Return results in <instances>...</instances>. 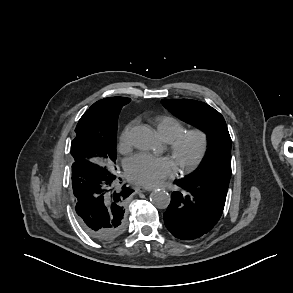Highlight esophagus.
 <instances>
[{
  "instance_id": "34e87169",
  "label": "esophagus",
  "mask_w": 293,
  "mask_h": 293,
  "mask_svg": "<svg viewBox=\"0 0 293 293\" xmlns=\"http://www.w3.org/2000/svg\"><path fill=\"white\" fill-rule=\"evenodd\" d=\"M155 189H156L155 187H139L137 189V192L153 191Z\"/></svg>"
}]
</instances>
